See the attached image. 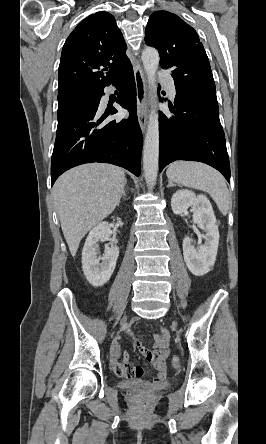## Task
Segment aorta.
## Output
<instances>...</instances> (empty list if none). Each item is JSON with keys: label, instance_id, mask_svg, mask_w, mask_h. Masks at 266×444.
<instances>
[{"label": "aorta", "instance_id": "aorta-1", "mask_svg": "<svg viewBox=\"0 0 266 444\" xmlns=\"http://www.w3.org/2000/svg\"><path fill=\"white\" fill-rule=\"evenodd\" d=\"M142 62L151 89V99L157 98L156 72L159 66V53L153 47H146L142 52ZM159 115L156 108L149 114L147 133L143 146V171L147 185L156 184L159 158Z\"/></svg>", "mask_w": 266, "mask_h": 444}]
</instances>
